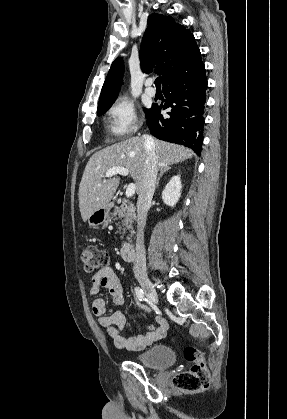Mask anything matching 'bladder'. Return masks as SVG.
I'll return each mask as SVG.
<instances>
[{
  "label": "bladder",
  "mask_w": 287,
  "mask_h": 419,
  "mask_svg": "<svg viewBox=\"0 0 287 419\" xmlns=\"http://www.w3.org/2000/svg\"><path fill=\"white\" fill-rule=\"evenodd\" d=\"M176 360L173 349L166 345L154 346L136 356V361L152 369H166Z\"/></svg>",
  "instance_id": "1"
}]
</instances>
